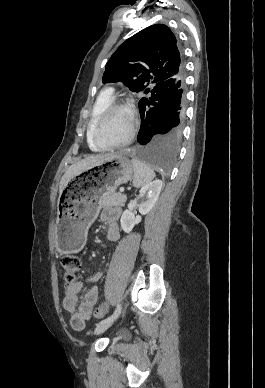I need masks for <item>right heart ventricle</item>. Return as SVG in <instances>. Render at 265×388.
<instances>
[{"instance_id": "obj_1", "label": "right heart ventricle", "mask_w": 265, "mask_h": 388, "mask_svg": "<svg viewBox=\"0 0 265 388\" xmlns=\"http://www.w3.org/2000/svg\"><path fill=\"white\" fill-rule=\"evenodd\" d=\"M112 102H113L112 94L108 91H105L100 96V98L97 100V102L95 103V105L92 109L91 118H90V121L88 124V129H87V141H88L89 146L93 150H101L102 149V147L96 145L94 140H93V136H92L93 124H94L96 118L98 117V115L100 114V112L102 111V109Z\"/></svg>"}]
</instances>
